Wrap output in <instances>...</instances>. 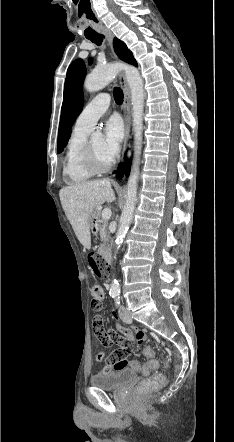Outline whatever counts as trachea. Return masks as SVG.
Segmentation results:
<instances>
[{
  "instance_id": "trachea-1",
  "label": "trachea",
  "mask_w": 234,
  "mask_h": 442,
  "mask_svg": "<svg viewBox=\"0 0 234 442\" xmlns=\"http://www.w3.org/2000/svg\"><path fill=\"white\" fill-rule=\"evenodd\" d=\"M88 39L91 40L96 45H101L102 42H103L102 35H97V36H94V37H90ZM113 95H114L115 102L117 104H122V102H123V92H122V90L119 87H115L114 88Z\"/></svg>"
}]
</instances>
